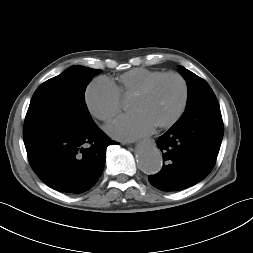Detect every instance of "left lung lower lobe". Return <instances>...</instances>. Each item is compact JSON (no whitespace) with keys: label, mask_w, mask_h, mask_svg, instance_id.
Wrapping results in <instances>:
<instances>
[{"label":"left lung lower lobe","mask_w":253,"mask_h":253,"mask_svg":"<svg viewBox=\"0 0 253 253\" xmlns=\"http://www.w3.org/2000/svg\"><path fill=\"white\" fill-rule=\"evenodd\" d=\"M223 138L222 121L174 124L156 141L162 170L149 182L162 191H178L203 180L213 169Z\"/></svg>","instance_id":"left-lung-lower-lobe-1"}]
</instances>
